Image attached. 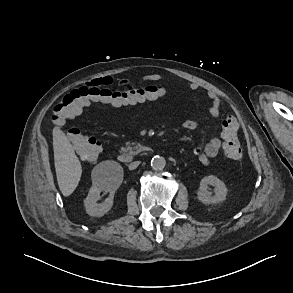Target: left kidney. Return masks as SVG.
<instances>
[{
  "mask_svg": "<svg viewBox=\"0 0 293 293\" xmlns=\"http://www.w3.org/2000/svg\"><path fill=\"white\" fill-rule=\"evenodd\" d=\"M209 185L215 186L214 195L209 191ZM227 193L225 183L216 176L209 175L200 181L197 198L203 204H218L226 199Z\"/></svg>",
  "mask_w": 293,
  "mask_h": 293,
  "instance_id": "1",
  "label": "left kidney"
}]
</instances>
